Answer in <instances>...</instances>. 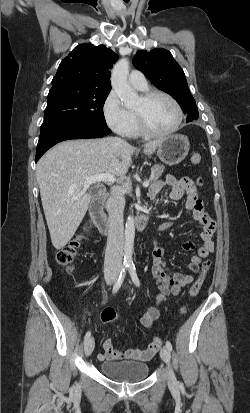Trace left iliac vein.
<instances>
[{
  "instance_id": "left-iliac-vein-1",
  "label": "left iliac vein",
  "mask_w": 250,
  "mask_h": 413,
  "mask_svg": "<svg viewBox=\"0 0 250 413\" xmlns=\"http://www.w3.org/2000/svg\"><path fill=\"white\" fill-rule=\"evenodd\" d=\"M160 356L162 360L168 365V376H169V384L173 385L175 383V376L173 371L170 368V351L168 350L167 347H163L160 351Z\"/></svg>"
}]
</instances>
